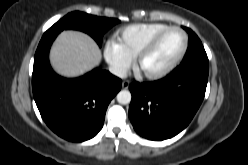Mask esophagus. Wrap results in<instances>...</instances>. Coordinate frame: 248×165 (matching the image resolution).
<instances>
[{"instance_id":"obj_1","label":"esophagus","mask_w":248,"mask_h":165,"mask_svg":"<svg viewBox=\"0 0 248 165\" xmlns=\"http://www.w3.org/2000/svg\"><path fill=\"white\" fill-rule=\"evenodd\" d=\"M129 85H130V81H128V80H124L122 82V88L123 89H127L129 87Z\"/></svg>"}]
</instances>
